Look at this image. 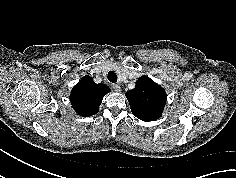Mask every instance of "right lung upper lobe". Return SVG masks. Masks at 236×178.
<instances>
[{
  "instance_id": "cb5924a9",
  "label": "right lung upper lobe",
  "mask_w": 236,
  "mask_h": 178,
  "mask_svg": "<svg viewBox=\"0 0 236 178\" xmlns=\"http://www.w3.org/2000/svg\"><path fill=\"white\" fill-rule=\"evenodd\" d=\"M110 92L108 86L96 84L89 76H84L73 87L70 101L74 110L81 116H92L99 111L104 95Z\"/></svg>"
}]
</instances>
